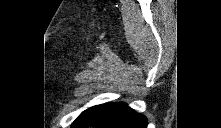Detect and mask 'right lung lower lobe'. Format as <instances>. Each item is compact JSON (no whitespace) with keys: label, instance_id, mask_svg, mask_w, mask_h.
I'll return each mask as SVG.
<instances>
[{"label":"right lung lower lobe","instance_id":"obj_1","mask_svg":"<svg viewBox=\"0 0 221 128\" xmlns=\"http://www.w3.org/2000/svg\"><path fill=\"white\" fill-rule=\"evenodd\" d=\"M72 127L147 128V118L124 103H107L85 110Z\"/></svg>","mask_w":221,"mask_h":128}]
</instances>
